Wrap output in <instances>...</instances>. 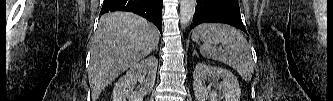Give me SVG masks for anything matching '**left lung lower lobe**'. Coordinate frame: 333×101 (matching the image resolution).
Listing matches in <instances>:
<instances>
[{"instance_id":"obj_1","label":"left lung lower lobe","mask_w":333,"mask_h":101,"mask_svg":"<svg viewBox=\"0 0 333 101\" xmlns=\"http://www.w3.org/2000/svg\"><path fill=\"white\" fill-rule=\"evenodd\" d=\"M206 22L226 23L247 33L237 0H198L190 29Z\"/></svg>"}]
</instances>
